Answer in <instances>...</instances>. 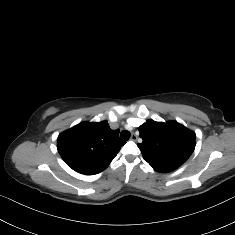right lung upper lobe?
<instances>
[{
	"label": "right lung upper lobe",
	"instance_id": "1",
	"mask_svg": "<svg viewBox=\"0 0 235 235\" xmlns=\"http://www.w3.org/2000/svg\"><path fill=\"white\" fill-rule=\"evenodd\" d=\"M118 134L107 121L82 122L58 136L57 149L74 171L94 175L105 170L125 144Z\"/></svg>",
	"mask_w": 235,
	"mask_h": 235
}]
</instances>
